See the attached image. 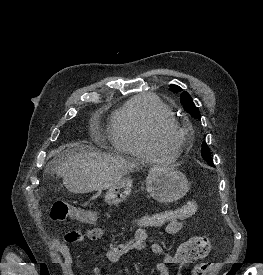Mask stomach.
I'll use <instances>...</instances> for the list:
<instances>
[{"label":"stomach","mask_w":263,"mask_h":275,"mask_svg":"<svg viewBox=\"0 0 263 275\" xmlns=\"http://www.w3.org/2000/svg\"><path fill=\"white\" fill-rule=\"evenodd\" d=\"M133 180L131 176L123 177L117 184L109 188L105 202L109 205L119 204L131 193ZM186 176L171 166H155L146 178V190L152 198L162 203H170L181 199L188 191Z\"/></svg>","instance_id":"1"}]
</instances>
